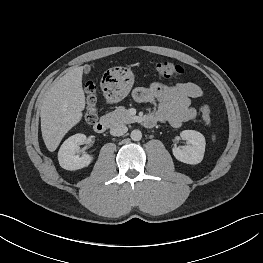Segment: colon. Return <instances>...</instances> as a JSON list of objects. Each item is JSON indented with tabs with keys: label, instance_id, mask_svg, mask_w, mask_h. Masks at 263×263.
Here are the masks:
<instances>
[{
	"label": "colon",
	"instance_id": "colon-1",
	"mask_svg": "<svg viewBox=\"0 0 263 263\" xmlns=\"http://www.w3.org/2000/svg\"><path fill=\"white\" fill-rule=\"evenodd\" d=\"M156 71L159 76L170 78L179 77L183 74V68L171 61H160L156 64ZM95 84L92 81H88L85 84V92L87 98V108L85 112V120L89 124L96 122L98 115L96 112V97H95ZM201 115L207 125H212L213 119L209 108L206 105L201 107Z\"/></svg>",
	"mask_w": 263,
	"mask_h": 263
}]
</instances>
